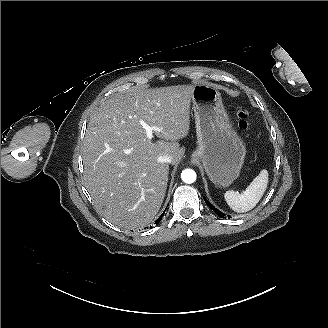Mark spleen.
I'll return each mask as SVG.
<instances>
[{
  "mask_svg": "<svg viewBox=\"0 0 328 328\" xmlns=\"http://www.w3.org/2000/svg\"><path fill=\"white\" fill-rule=\"evenodd\" d=\"M268 184V171L263 169L259 175L253 179L246 190L239 194L233 190L227 191L224 195L229 207L238 213L252 210L262 198Z\"/></svg>",
  "mask_w": 328,
  "mask_h": 328,
  "instance_id": "3e777b00",
  "label": "spleen"
}]
</instances>
